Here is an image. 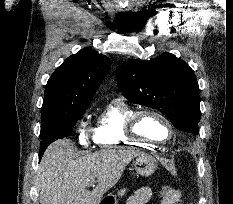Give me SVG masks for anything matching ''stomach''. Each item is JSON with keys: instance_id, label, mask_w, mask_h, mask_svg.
Instances as JSON below:
<instances>
[{"instance_id": "stomach-1", "label": "stomach", "mask_w": 233, "mask_h": 204, "mask_svg": "<svg viewBox=\"0 0 233 204\" xmlns=\"http://www.w3.org/2000/svg\"><path fill=\"white\" fill-rule=\"evenodd\" d=\"M133 163L137 174L145 177L152 175L157 168L156 160L147 154L139 155ZM104 203V201H100L98 204Z\"/></svg>"}]
</instances>
